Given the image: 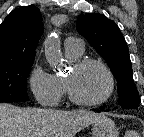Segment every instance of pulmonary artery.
Returning a JSON list of instances; mask_svg holds the SVG:
<instances>
[{"label": "pulmonary artery", "instance_id": "1", "mask_svg": "<svg viewBox=\"0 0 144 137\" xmlns=\"http://www.w3.org/2000/svg\"><path fill=\"white\" fill-rule=\"evenodd\" d=\"M65 48L79 54L83 51V42L80 39L69 37L65 41Z\"/></svg>", "mask_w": 144, "mask_h": 137}]
</instances>
